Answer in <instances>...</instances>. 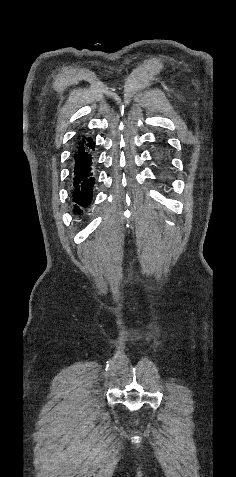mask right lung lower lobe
<instances>
[{
	"label": "right lung lower lobe",
	"mask_w": 236,
	"mask_h": 477,
	"mask_svg": "<svg viewBox=\"0 0 236 477\" xmlns=\"http://www.w3.org/2000/svg\"><path fill=\"white\" fill-rule=\"evenodd\" d=\"M94 142L91 137L80 136L73 154L71 199L74 211L82 214L92 199L95 178L93 162L95 160Z\"/></svg>",
	"instance_id": "1"
}]
</instances>
